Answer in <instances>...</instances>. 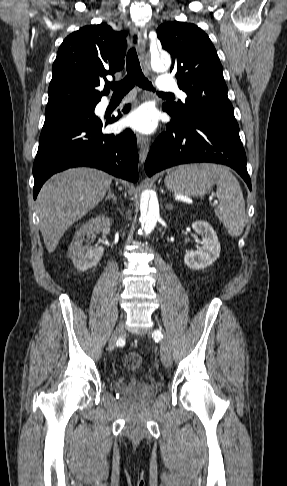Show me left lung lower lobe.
<instances>
[{
    "label": "left lung lower lobe",
    "mask_w": 287,
    "mask_h": 486,
    "mask_svg": "<svg viewBox=\"0 0 287 486\" xmlns=\"http://www.w3.org/2000/svg\"><path fill=\"white\" fill-rule=\"evenodd\" d=\"M194 162L228 165L241 175L251 189L239 131L204 120L182 123L171 117L166 131L150 149L145 163L146 173L151 176L175 165Z\"/></svg>",
    "instance_id": "obj_1"
}]
</instances>
